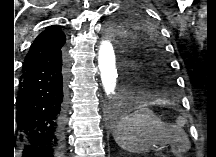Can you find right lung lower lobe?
I'll list each match as a JSON object with an SVG mask.
<instances>
[{
  "label": "right lung lower lobe",
  "mask_w": 216,
  "mask_h": 157,
  "mask_svg": "<svg viewBox=\"0 0 216 157\" xmlns=\"http://www.w3.org/2000/svg\"><path fill=\"white\" fill-rule=\"evenodd\" d=\"M65 74L62 52L22 72L15 111L20 157H61Z\"/></svg>",
  "instance_id": "98d812e1"
}]
</instances>
